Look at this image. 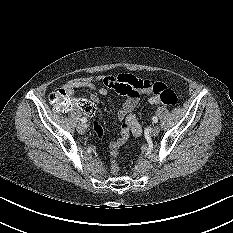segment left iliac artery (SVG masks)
Wrapping results in <instances>:
<instances>
[{"label":"left iliac artery","instance_id":"44dca946","mask_svg":"<svg viewBox=\"0 0 233 233\" xmlns=\"http://www.w3.org/2000/svg\"><path fill=\"white\" fill-rule=\"evenodd\" d=\"M152 121H153L154 123H157V122H158V118H157L156 116H153Z\"/></svg>","mask_w":233,"mask_h":233}]
</instances>
